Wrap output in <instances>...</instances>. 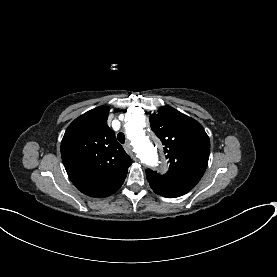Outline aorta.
I'll return each mask as SVG.
<instances>
[{"label":"aorta","instance_id":"1","mask_svg":"<svg viewBox=\"0 0 277 277\" xmlns=\"http://www.w3.org/2000/svg\"><path fill=\"white\" fill-rule=\"evenodd\" d=\"M144 127V116L132 115L126 123V133L140 160L148 166H156L158 163V141L155 137L146 135Z\"/></svg>","mask_w":277,"mask_h":277}]
</instances>
